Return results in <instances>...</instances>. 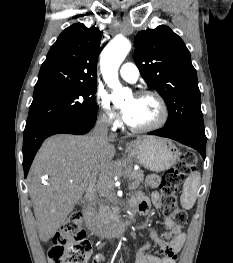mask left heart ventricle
Returning <instances> with one entry per match:
<instances>
[{
	"label": "left heart ventricle",
	"instance_id": "obj_1",
	"mask_svg": "<svg viewBox=\"0 0 233 263\" xmlns=\"http://www.w3.org/2000/svg\"><path fill=\"white\" fill-rule=\"evenodd\" d=\"M124 109L132 110V126H147L153 124L160 117V107L152 97L130 98L125 104Z\"/></svg>",
	"mask_w": 233,
	"mask_h": 263
}]
</instances>
